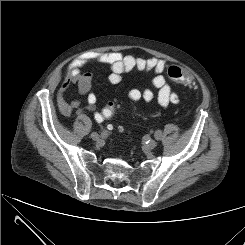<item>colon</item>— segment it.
<instances>
[{"mask_svg": "<svg viewBox=\"0 0 245 245\" xmlns=\"http://www.w3.org/2000/svg\"><path fill=\"white\" fill-rule=\"evenodd\" d=\"M168 77L184 86H192L194 84L193 76L190 72L182 69L178 66H171L167 70ZM116 109V103H109L103 110V114L105 117H111ZM122 130V128H120Z\"/></svg>", "mask_w": 245, "mask_h": 245, "instance_id": "5ec220e1", "label": "colon"}]
</instances>
